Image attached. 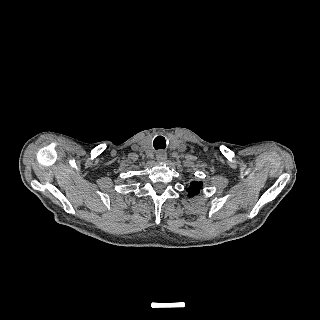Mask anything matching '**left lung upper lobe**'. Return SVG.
<instances>
[{
    "label": "left lung upper lobe",
    "mask_w": 320,
    "mask_h": 320,
    "mask_svg": "<svg viewBox=\"0 0 320 320\" xmlns=\"http://www.w3.org/2000/svg\"><path fill=\"white\" fill-rule=\"evenodd\" d=\"M202 182L193 181L190 183V187L187 189L188 196L194 197L195 195L199 194L200 189L202 188Z\"/></svg>",
    "instance_id": "5c2ea615"
}]
</instances>
